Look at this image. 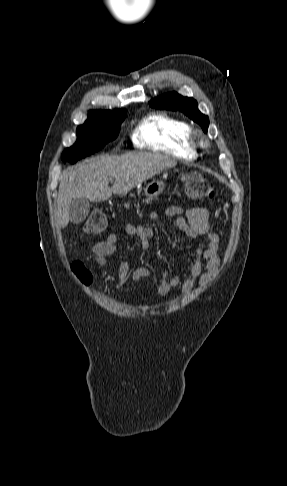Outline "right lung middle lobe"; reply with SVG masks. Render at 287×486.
Returning a JSON list of instances; mask_svg holds the SVG:
<instances>
[{
    "label": "right lung middle lobe",
    "mask_w": 287,
    "mask_h": 486,
    "mask_svg": "<svg viewBox=\"0 0 287 486\" xmlns=\"http://www.w3.org/2000/svg\"><path fill=\"white\" fill-rule=\"evenodd\" d=\"M125 116L126 113L89 112L86 122L77 128L76 143L64 151L62 160L73 164L103 148L117 137Z\"/></svg>",
    "instance_id": "dd1d6c3e"
}]
</instances>
